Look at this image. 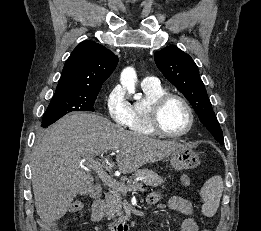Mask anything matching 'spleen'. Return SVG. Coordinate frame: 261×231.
<instances>
[{
	"instance_id": "obj_1",
	"label": "spleen",
	"mask_w": 261,
	"mask_h": 231,
	"mask_svg": "<svg viewBox=\"0 0 261 231\" xmlns=\"http://www.w3.org/2000/svg\"><path fill=\"white\" fill-rule=\"evenodd\" d=\"M223 192L221 176H213L208 179L201 188L200 195L203 200L202 212L207 217L216 213Z\"/></svg>"
}]
</instances>
